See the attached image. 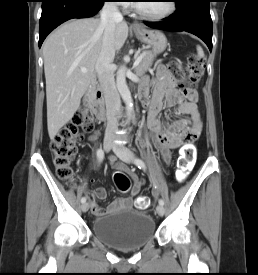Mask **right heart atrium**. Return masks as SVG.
Returning <instances> with one entry per match:
<instances>
[{"instance_id":"right-heart-atrium-1","label":"right heart atrium","mask_w":258,"mask_h":275,"mask_svg":"<svg viewBox=\"0 0 258 275\" xmlns=\"http://www.w3.org/2000/svg\"><path fill=\"white\" fill-rule=\"evenodd\" d=\"M112 2H118V5H126L128 0H111Z\"/></svg>"}]
</instances>
